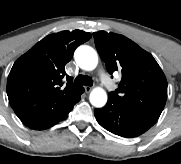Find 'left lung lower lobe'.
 Listing matches in <instances>:
<instances>
[{
	"instance_id": "0a47b994",
	"label": "left lung lower lobe",
	"mask_w": 181,
	"mask_h": 164,
	"mask_svg": "<svg viewBox=\"0 0 181 164\" xmlns=\"http://www.w3.org/2000/svg\"><path fill=\"white\" fill-rule=\"evenodd\" d=\"M94 115L103 128L125 138L141 135L152 127L158 119L109 97L103 108L94 110Z\"/></svg>"
}]
</instances>
